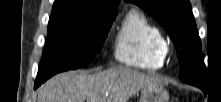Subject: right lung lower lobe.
<instances>
[{
	"instance_id": "obj_1",
	"label": "right lung lower lobe",
	"mask_w": 221,
	"mask_h": 102,
	"mask_svg": "<svg viewBox=\"0 0 221 102\" xmlns=\"http://www.w3.org/2000/svg\"><path fill=\"white\" fill-rule=\"evenodd\" d=\"M42 83H43V82H41V81H36L34 87L37 88V87L40 86Z\"/></svg>"
}]
</instances>
